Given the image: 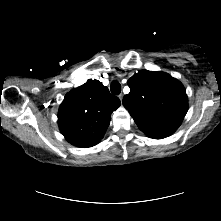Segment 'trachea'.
Segmentation results:
<instances>
[{
  "label": "trachea",
  "instance_id": "obj_1",
  "mask_svg": "<svg viewBox=\"0 0 221 221\" xmlns=\"http://www.w3.org/2000/svg\"><path fill=\"white\" fill-rule=\"evenodd\" d=\"M110 89L113 95H119L121 92V85L118 81H113L110 85Z\"/></svg>",
  "mask_w": 221,
  "mask_h": 221
}]
</instances>
